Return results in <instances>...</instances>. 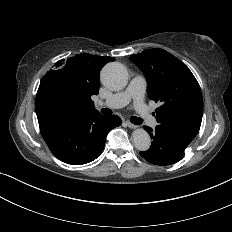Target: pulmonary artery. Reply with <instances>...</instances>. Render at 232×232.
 I'll return each instance as SVG.
<instances>
[{
  "label": "pulmonary artery",
  "mask_w": 232,
  "mask_h": 232,
  "mask_svg": "<svg viewBox=\"0 0 232 232\" xmlns=\"http://www.w3.org/2000/svg\"><path fill=\"white\" fill-rule=\"evenodd\" d=\"M146 88V79L142 75H135L131 79V87L129 90L124 91L119 96L113 98L111 96H107L102 101H95L96 106H102L103 104L107 107H122L130 100L133 99L132 104L136 109V112L140 117L145 121L146 124L151 125L154 123L155 118L153 114L146 109L143 102V94Z\"/></svg>",
  "instance_id": "obj_1"
}]
</instances>
